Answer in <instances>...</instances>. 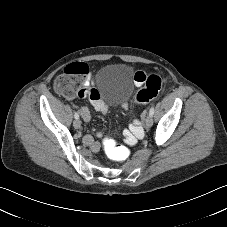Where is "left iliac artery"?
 <instances>
[{"mask_svg":"<svg viewBox=\"0 0 227 227\" xmlns=\"http://www.w3.org/2000/svg\"><path fill=\"white\" fill-rule=\"evenodd\" d=\"M154 111H155V110H154V107H151V109H150V111H149V115H150V116H153V115H154Z\"/></svg>","mask_w":227,"mask_h":227,"instance_id":"obj_1","label":"left iliac artery"}]
</instances>
